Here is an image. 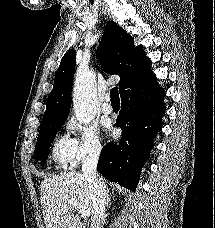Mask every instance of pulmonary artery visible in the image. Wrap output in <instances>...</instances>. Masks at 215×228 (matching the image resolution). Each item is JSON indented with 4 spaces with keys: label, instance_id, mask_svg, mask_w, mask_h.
Returning <instances> with one entry per match:
<instances>
[{
    "label": "pulmonary artery",
    "instance_id": "pulmonary-artery-1",
    "mask_svg": "<svg viewBox=\"0 0 215 228\" xmlns=\"http://www.w3.org/2000/svg\"><path fill=\"white\" fill-rule=\"evenodd\" d=\"M110 100H111L110 94H107L105 97V102L102 105V111L105 114H110L113 111V107L111 105Z\"/></svg>",
    "mask_w": 215,
    "mask_h": 228
}]
</instances>
